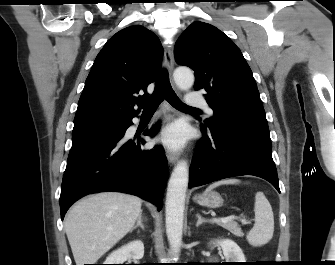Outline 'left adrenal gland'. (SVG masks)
<instances>
[{
  "label": "left adrenal gland",
  "mask_w": 335,
  "mask_h": 265,
  "mask_svg": "<svg viewBox=\"0 0 335 265\" xmlns=\"http://www.w3.org/2000/svg\"><path fill=\"white\" fill-rule=\"evenodd\" d=\"M196 217L198 218L196 223L197 227L203 224L204 222H212L211 220H206L205 218H203L199 213L196 214Z\"/></svg>",
  "instance_id": "obj_1"
}]
</instances>
